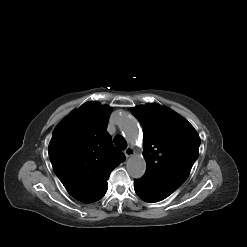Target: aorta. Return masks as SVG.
Instances as JSON below:
<instances>
[{"label":"aorta","instance_id":"1","mask_svg":"<svg viewBox=\"0 0 247 247\" xmlns=\"http://www.w3.org/2000/svg\"><path fill=\"white\" fill-rule=\"evenodd\" d=\"M120 131L131 145L139 140V127L136 118L129 113H122L117 118ZM127 171L133 178H141L146 170V162L140 155H133L127 161Z\"/></svg>","mask_w":247,"mask_h":247}]
</instances>
